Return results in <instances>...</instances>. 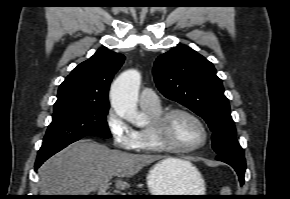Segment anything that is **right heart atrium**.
<instances>
[{
    "mask_svg": "<svg viewBox=\"0 0 290 199\" xmlns=\"http://www.w3.org/2000/svg\"><path fill=\"white\" fill-rule=\"evenodd\" d=\"M106 123L117 149L134 150L136 131L114 109L108 111Z\"/></svg>",
    "mask_w": 290,
    "mask_h": 199,
    "instance_id": "right-heart-atrium-1",
    "label": "right heart atrium"
}]
</instances>
